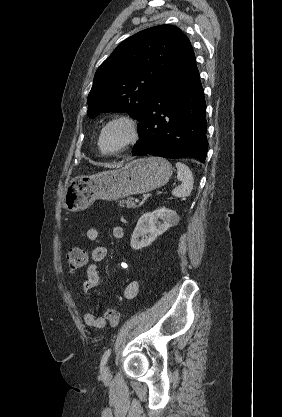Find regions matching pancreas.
<instances>
[{
    "instance_id": "1",
    "label": "pancreas",
    "mask_w": 282,
    "mask_h": 417,
    "mask_svg": "<svg viewBox=\"0 0 282 417\" xmlns=\"http://www.w3.org/2000/svg\"><path fill=\"white\" fill-rule=\"evenodd\" d=\"M119 202V206H127V209H135V206H137L136 202H134L133 196H128V198H123V200H117Z\"/></svg>"
}]
</instances>
